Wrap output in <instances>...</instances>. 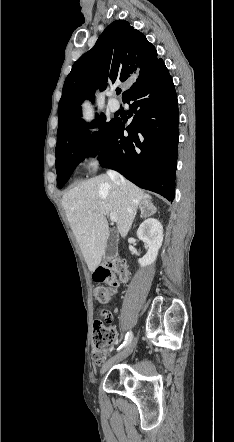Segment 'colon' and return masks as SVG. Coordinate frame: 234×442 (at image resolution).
Returning <instances> with one entry per match:
<instances>
[{"mask_svg":"<svg viewBox=\"0 0 234 442\" xmlns=\"http://www.w3.org/2000/svg\"><path fill=\"white\" fill-rule=\"evenodd\" d=\"M129 277V268L123 260H113L106 266H99L94 272V279L104 285L96 287L94 291L95 299L102 304L113 302L116 297L119 280L126 281ZM107 312H100L99 318L102 319ZM115 338V330L109 328H96L93 332V358L97 364L104 361L109 348Z\"/></svg>","mask_w":234,"mask_h":442,"instance_id":"5ec220e1","label":"colon"}]
</instances>
